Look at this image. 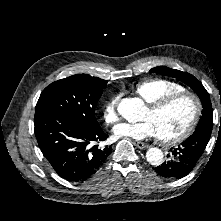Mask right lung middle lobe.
Returning <instances> with one entry per match:
<instances>
[{"label": "right lung middle lobe", "mask_w": 221, "mask_h": 221, "mask_svg": "<svg viewBox=\"0 0 221 221\" xmlns=\"http://www.w3.org/2000/svg\"><path fill=\"white\" fill-rule=\"evenodd\" d=\"M107 81L77 74L51 83L40 95L38 107L61 113L86 126H99L95 108Z\"/></svg>", "instance_id": "dd1d6c3e"}]
</instances>
